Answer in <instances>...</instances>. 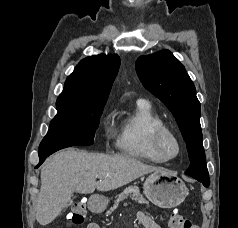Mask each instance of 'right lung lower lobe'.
Listing matches in <instances>:
<instances>
[{"instance_id":"98d812e1","label":"right lung lower lobe","mask_w":238,"mask_h":228,"mask_svg":"<svg viewBox=\"0 0 238 228\" xmlns=\"http://www.w3.org/2000/svg\"><path fill=\"white\" fill-rule=\"evenodd\" d=\"M66 147H60V148H52V149H41L39 150V164L36 166V168H38L45 160L46 157H48L49 155L53 154L54 152L63 149Z\"/></svg>"}]
</instances>
